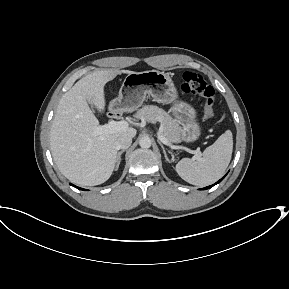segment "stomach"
Returning <instances> with one entry per match:
<instances>
[{"label": "stomach", "instance_id": "obj_1", "mask_svg": "<svg viewBox=\"0 0 289 289\" xmlns=\"http://www.w3.org/2000/svg\"><path fill=\"white\" fill-rule=\"evenodd\" d=\"M147 96L162 104H171L170 112L182 125L180 140L195 142L201 136L197 112L190 104L178 101L177 89L168 73L157 70L134 72L126 76L117 98L111 107L121 111H133L140 107Z\"/></svg>", "mask_w": 289, "mask_h": 289}]
</instances>
